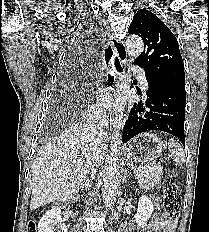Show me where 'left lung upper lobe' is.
I'll use <instances>...</instances> for the list:
<instances>
[{
    "label": "left lung upper lobe",
    "mask_w": 209,
    "mask_h": 232,
    "mask_svg": "<svg viewBox=\"0 0 209 232\" xmlns=\"http://www.w3.org/2000/svg\"><path fill=\"white\" fill-rule=\"evenodd\" d=\"M144 41V51L135 63L145 70L154 86L173 87L185 92L183 60L176 37L151 11L140 9L128 29Z\"/></svg>",
    "instance_id": "1"
}]
</instances>
